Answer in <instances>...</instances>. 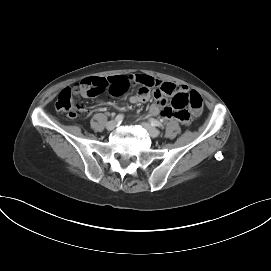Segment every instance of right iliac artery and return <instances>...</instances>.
I'll return each mask as SVG.
<instances>
[{"instance_id": "1", "label": "right iliac artery", "mask_w": 271, "mask_h": 271, "mask_svg": "<svg viewBox=\"0 0 271 271\" xmlns=\"http://www.w3.org/2000/svg\"><path fill=\"white\" fill-rule=\"evenodd\" d=\"M123 118H124L123 114H118L115 117V121L118 122V123H120V122H122Z\"/></svg>"}]
</instances>
